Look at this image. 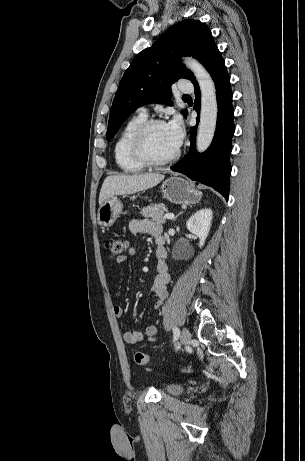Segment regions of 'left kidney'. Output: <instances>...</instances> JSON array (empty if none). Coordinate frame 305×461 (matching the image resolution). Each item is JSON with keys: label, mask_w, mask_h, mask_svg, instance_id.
<instances>
[{"label": "left kidney", "mask_w": 305, "mask_h": 461, "mask_svg": "<svg viewBox=\"0 0 305 461\" xmlns=\"http://www.w3.org/2000/svg\"><path fill=\"white\" fill-rule=\"evenodd\" d=\"M212 215L213 213L211 209H201L186 222L187 229L199 238L200 248L204 245L209 234Z\"/></svg>", "instance_id": "obj_1"}]
</instances>
